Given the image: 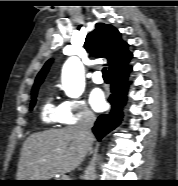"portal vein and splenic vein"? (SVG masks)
<instances>
[{"label":"portal vein and splenic vein","instance_id":"18ae733b","mask_svg":"<svg viewBox=\"0 0 178 186\" xmlns=\"http://www.w3.org/2000/svg\"><path fill=\"white\" fill-rule=\"evenodd\" d=\"M63 180H69L67 175L63 176Z\"/></svg>","mask_w":178,"mask_h":186}]
</instances>
